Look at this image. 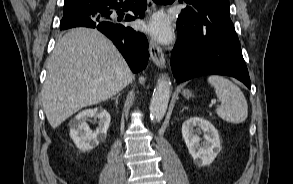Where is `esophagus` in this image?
Instances as JSON below:
<instances>
[{
	"label": "esophagus",
	"mask_w": 293,
	"mask_h": 184,
	"mask_svg": "<svg viewBox=\"0 0 293 184\" xmlns=\"http://www.w3.org/2000/svg\"><path fill=\"white\" fill-rule=\"evenodd\" d=\"M156 9L155 4L153 3L152 0H148V11L151 13ZM149 51H150V56L153 62L160 68L165 67V56L162 51V48L153 40L150 39L149 41Z\"/></svg>",
	"instance_id": "1"
}]
</instances>
